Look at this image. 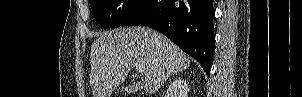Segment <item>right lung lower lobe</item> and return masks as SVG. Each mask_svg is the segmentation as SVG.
I'll use <instances>...</instances> for the list:
<instances>
[{
    "instance_id": "obj_1",
    "label": "right lung lower lobe",
    "mask_w": 302,
    "mask_h": 97,
    "mask_svg": "<svg viewBox=\"0 0 302 97\" xmlns=\"http://www.w3.org/2000/svg\"><path fill=\"white\" fill-rule=\"evenodd\" d=\"M213 0H146L122 26L157 29L210 74L214 54Z\"/></svg>"
}]
</instances>
